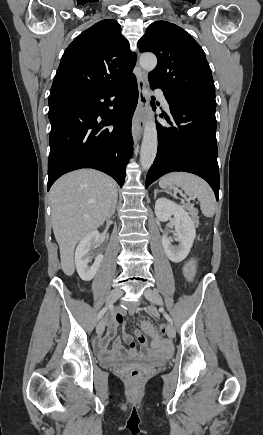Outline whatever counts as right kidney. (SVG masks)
<instances>
[{"label":"right kidney","mask_w":263,"mask_h":435,"mask_svg":"<svg viewBox=\"0 0 263 435\" xmlns=\"http://www.w3.org/2000/svg\"><path fill=\"white\" fill-rule=\"evenodd\" d=\"M99 232L94 230L88 233L79 242L75 252V265L80 278L84 281H90L96 275L103 255H98L92 265L93 250L92 247L99 242Z\"/></svg>","instance_id":"1"}]
</instances>
